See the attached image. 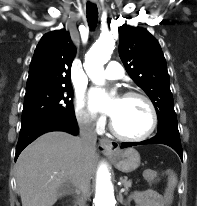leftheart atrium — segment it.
Masks as SVG:
<instances>
[{"mask_svg":"<svg viewBox=\"0 0 197 206\" xmlns=\"http://www.w3.org/2000/svg\"><path fill=\"white\" fill-rule=\"evenodd\" d=\"M118 99H110L106 93L100 89L91 92V104L94 109L101 110L110 116H113L116 110Z\"/></svg>","mask_w":197,"mask_h":206,"instance_id":"1","label":"left heart atrium"}]
</instances>
